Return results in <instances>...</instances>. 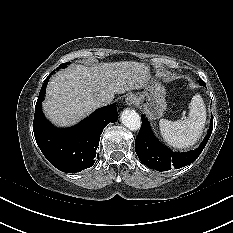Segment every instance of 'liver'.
I'll list each match as a JSON object with an SVG mask.
<instances>
[{"instance_id":"6515ba94","label":"liver","mask_w":233,"mask_h":233,"mask_svg":"<svg viewBox=\"0 0 233 233\" xmlns=\"http://www.w3.org/2000/svg\"><path fill=\"white\" fill-rule=\"evenodd\" d=\"M148 79V67L139 62L72 65L49 81L43 109L53 124L71 126L100 107L99 98L141 89Z\"/></svg>"}]
</instances>
